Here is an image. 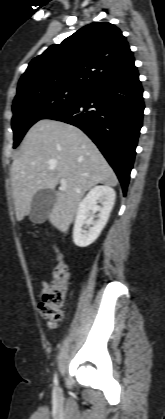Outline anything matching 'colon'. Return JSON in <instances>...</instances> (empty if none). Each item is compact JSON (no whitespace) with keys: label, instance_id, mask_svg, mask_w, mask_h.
I'll use <instances>...</instances> for the list:
<instances>
[{"label":"colon","instance_id":"obj_1","mask_svg":"<svg viewBox=\"0 0 165 419\" xmlns=\"http://www.w3.org/2000/svg\"><path fill=\"white\" fill-rule=\"evenodd\" d=\"M69 271L58 254L53 279L39 303L40 315L48 321L50 328H55L63 318V310L68 290Z\"/></svg>","mask_w":165,"mask_h":419}]
</instances>
